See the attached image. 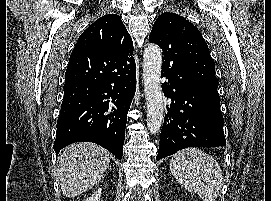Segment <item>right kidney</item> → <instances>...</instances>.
I'll return each instance as SVG.
<instances>
[{
    "instance_id": "right-kidney-1",
    "label": "right kidney",
    "mask_w": 271,
    "mask_h": 201,
    "mask_svg": "<svg viewBox=\"0 0 271 201\" xmlns=\"http://www.w3.org/2000/svg\"><path fill=\"white\" fill-rule=\"evenodd\" d=\"M100 197H101V188H98L91 197L86 199V201H100Z\"/></svg>"
}]
</instances>
